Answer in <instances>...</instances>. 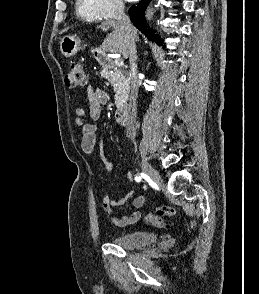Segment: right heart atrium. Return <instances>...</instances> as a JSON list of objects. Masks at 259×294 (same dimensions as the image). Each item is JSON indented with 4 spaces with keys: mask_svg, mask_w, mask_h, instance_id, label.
<instances>
[{
    "mask_svg": "<svg viewBox=\"0 0 259 294\" xmlns=\"http://www.w3.org/2000/svg\"><path fill=\"white\" fill-rule=\"evenodd\" d=\"M96 10L102 19H111L124 11L122 0H93Z\"/></svg>",
    "mask_w": 259,
    "mask_h": 294,
    "instance_id": "obj_1",
    "label": "right heart atrium"
}]
</instances>
